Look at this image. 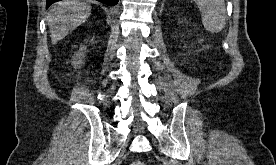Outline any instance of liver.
<instances>
[{
    "instance_id": "liver-1",
    "label": "liver",
    "mask_w": 276,
    "mask_h": 165,
    "mask_svg": "<svg viewBox=\"0 0 276 165\" xmlns=\"http://www.w3.org/2000/svg\"><path fill=\"white\" fill-rule=\"evenodd\" d=\"M91 14V6L79 0H63L55 3L47 16L53 44L66 37L84 23Z\"/></svg>"
}]
</instances>
